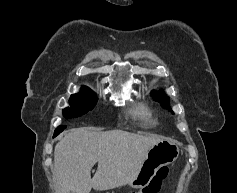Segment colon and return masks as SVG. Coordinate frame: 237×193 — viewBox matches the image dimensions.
<instances>
[{
    "mask_svg": "<svg viewBox=\"0 0 237 193\" xmlns=\"http://www.w3.org/2000/svg\"><path fill=\"white\" fill-rule=\"evenodd\" d=\"M167 173V167H160L148 184L140 188L138 191H133L131 193H158L161 189L163 180L167 176Z\"/></svg>",
    "mask_w": 237,
    "mask_h": 193,
    "instance_id": "colon-1",
    "label": "colon"
}]
</instances>
